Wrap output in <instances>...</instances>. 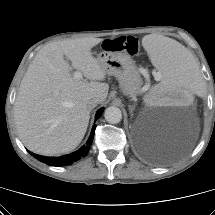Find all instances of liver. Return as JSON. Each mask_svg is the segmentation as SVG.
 <instances>
[{
    "label": "liver",
    "instance_id": "liver-1",
    "mask_svg": "<svg viewBox=\"0 0 215 215\" xmlns=\"http://www.w3.org/2000/svg\"><path fill=\"white\" fill-rule=\"evenodd\" d=\"M101 38L65 39L38 51L19 87L14 119L22 143L30 151L53 156L74 150L82 141L90 119L87 102H104L109 85L106 72L91 49ZM66 56L71 65L64 60ZM77 69L90 80L77 79Z\"/></svg>",
    "mask_w": 215,
    "mask_h": 215
}]
</instances>
